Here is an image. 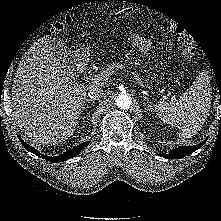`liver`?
I'll return each instance as SVG.
<instances>
[{
	"instance_id": "1",
	"label": "liver",
	"mask_w": 221,
	"mask_h": 221,
	"mask_svg": "<svg viewBox=\"0 0 221 221\" xmlns=\"http://www.w3.org/2000/svg\"><path fill=\"white\" fill-rule=\"evenodd\" d=\"M85 96V86L70 79L48 39H41L27 51L16 71L13 116L33 141L56 145L73 134Z\"/></svg>"
}]
</instances>
